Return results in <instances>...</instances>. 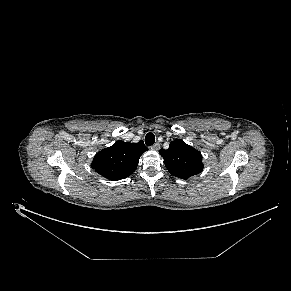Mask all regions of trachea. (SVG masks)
Segmentation results:
<instances>
[{"mask_svg":"<svg viewBox=\"0 0 291 291\" xmlns=\"http://www.w3.org/2000/svg\"><path fill=\"white\" fill-rule=\"evenodd\" d=\"M155 142V136L153 133L149 132L147 133V135L145 136V143L147 146H151L153 145Z\"/></svg>","mask_w":291,"mask_h":291,"instance_id":"1","label":"trachea"}]
</instances>
